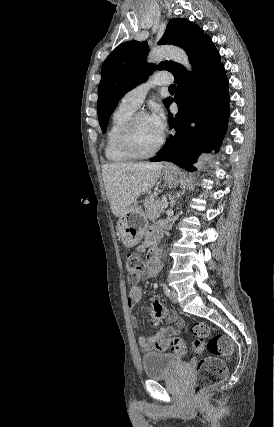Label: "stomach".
Instances as JSON below:
<instances>
[{
  "instance_id": "1",
  "label": "stomach",
  "mask_w": 274,
  "mask_h": 427,
  "mask_svg": "<svg viewBox=\"0 0 274 427\" xmlns=\"http://www.w3.org/2000/svg\"><path fill=\"white\" fill-rule=\"evenodd\" d=\"M178 176V168L174 166L172 170H163L162 180L167 184L175 182ZM119 237L123 241L125 247H133L136 243H139L148 227L147 215L136 208L131 206L130 210H126L124 214L120 215L117 221Z\"/></svg>"
}]
</instances>
